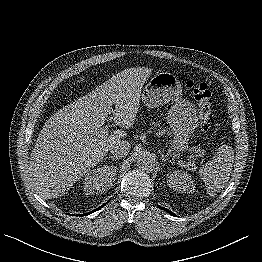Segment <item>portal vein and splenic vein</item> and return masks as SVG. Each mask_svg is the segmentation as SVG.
<instances>
[{
    "label": "portal vein and splenic vein",
    "instance_id": "obj_1",
    "mask_svg": "<svg viewBox=\"0 0 262 262\" xmlns=\"http://www.w3.org/2000/svg\"><path fill=\"white\" fill-rule=\"evenodd\" d=\"M112 119V117H110V120ZM108 130H109V123L108 124H106L105 126H103L102 128H101V130H100V137H104V136H107L108 135ZM197 152H199V155L201 156V157H203L204 155H206L205 153H204V151H202V150H197ZM194 162H188V164L189 165H191V164H193Z\"/></svg>",
    "mask_w": 262,
    "mask_h": 262
}]
</instances>
